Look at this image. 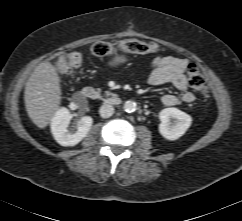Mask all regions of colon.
<instances>
[{"label":"colon","instance_id":"1","mask_svg":"<svg viewBox=\"0 0 242 221\" xmlns=\"http://www.w3.org/2000/svg\"><path fill=\"white\" fill-rule=\"evenodd\" d=\"M160 46L155 42H144L138 39H129L113 45L108 42H97L93 45L91 52L96 57H109L117 52L130 54H145L156 52ZM83 56L79 51H71L62 55L55 62V69L60 74H68L78 69L82 64ZM187 77L189 85L200 95L206 96L208 93L207 84L200 69L193 63L187 67Z\"/></svg>","mask_w":242,"mask_h":221}]
</instances>
